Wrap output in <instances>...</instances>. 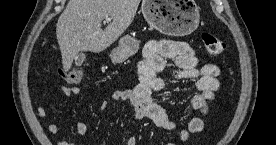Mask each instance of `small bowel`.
<instances>
[{"label": "small bowel", "mask_w": 276, "mask_h": 145, "mask_svg": "<svg viewBox=\"0 0 276 145\" xmlns=\"http://www.w3.org/2000/svg\"><path fill=\"white\" fill-rule=\"evenodd\" d=\"M174 64L171 74L180 79H196L197 92L190 100V108L198 111L202 116L208 112V103L215 97L219 87V69L215 64H205L198 67V60L195 51L185 42L175 40L149 41L144 48L143 60L138 65L139 83L133 89H118L111 93L112 101L129 102L134 109V121L138 122L144 118L150 119L157 127L174 130L177 125L170 120L165 109L153 98L155 91L164 88V79L159 75L167 69V62ZM58 92L63 96L79 95L81 90L78 87L60 86ZM109 107V101H102L100 109ZM37 116L43 118L45 111L42 107L37 108ZM204 128L202 117H192L186 128L178 133L181 142L188 140L191 134L199 133ZM76 130L80 135L88 133V126L84 122L76 123ZM59 131V125L53 121L47 126V132L51 135ZM58 145H73L65 141L58 142ZM126 145H137L136 138L130 136ZM170 145H177L171 143Z\"/></svg>", "instance_id": "obj_1"}]
</instances>
